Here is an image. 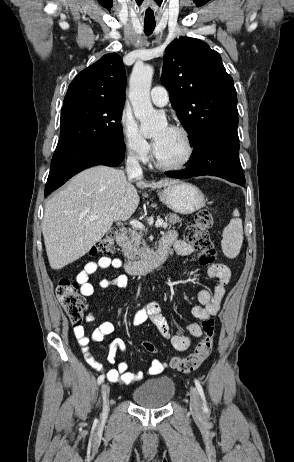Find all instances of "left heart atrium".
<instances>
[{"mask_svg":"<svg viewBox=\"0 0 294 462\" xmlns=\"http://www.w3.org/2000/svg\"><path fill=\"white\" fill-rule=\"evenodd\" d=\"M154 144H155V146H156V141H154Z\"/></svg>","mask_w":294,"mask_h":462,"instance_id":"39dd6f15","label":"left heart atrium"}]
</instances>
